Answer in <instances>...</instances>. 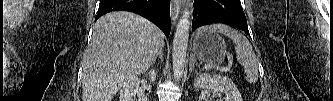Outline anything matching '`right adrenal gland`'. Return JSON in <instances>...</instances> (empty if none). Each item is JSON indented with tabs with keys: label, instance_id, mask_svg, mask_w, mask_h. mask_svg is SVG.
Instances as JSON below:
<instances>
[{
	"label": "right adrenal gland",
	"instance_id": "2a0ac1e0",
	"mask_svg": "<svg viewBox=\"0 0 333 101\" xmlns=\"http://www.w3.org/2000/svg\"><path fill=\"white\" fill-rule=\"evenodd\" d=\"M157 57H159V58H160V61L162 62V60H163L162 49H160V50L158 51V53L155 55V57H154V59H153V62H154V63H155Z\"/></svg>",
	"mask_w": 333,
	"mask_h": 101
}]
</instances>
